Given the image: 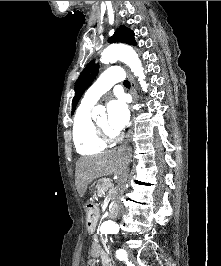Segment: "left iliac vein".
I'll list each match as a JSON object with an SVG mask.
<instances>
[{"label": "left iliac vein", "mask_w": 221, "mask_h": 266, "mask_svg": "<svg viewBox=\"0 0 221 266\" xmlns=\"http://www.w3.org/2000/svg\"><path fill=\"white\" fill-rule=\"evenodd\" d=\"M127 257H128V259L133 258V252L130 249H127Z\"/></svg>", "instance_id": "4c4485c4"}]
</instances>
